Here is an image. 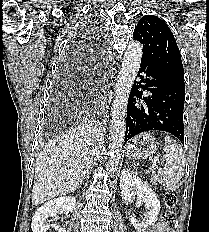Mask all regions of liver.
I'll return each instance as SVG.
<instances>
[{
  "instance_id": "6515ba94",
  "label": "liver",
  "mask_w": 209,
  "mask_h": 232,
  "mask_svg": "<svg viewBox=\"0 0 209 232\" xmlns=\"http://www.w3.org/2000/svg\"><path fill=\"white\" fill-rule=\"evenodd\" d=\"M93 127L80 124L50 141L35 164L32 205L76 191L87 174L92 159Z\"/></svg>"
}]
</instances>
